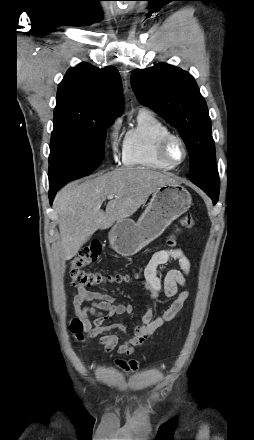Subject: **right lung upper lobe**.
Segmentation results:
<instances>
[{"instance_id": "obj_1", "label": "right lung upper lobe", "mask_w": 254, "mask_h": 440, "mask_svg": "<svg viewBox=\"0 0 254 440\" xmlns=\"http://www.w3.org/2000/svg\"><path fill=\"white\" fill-rule=\"evenodd\" d=\"M121 80L113 66L99 69L81 63L70 69L58 86L54 117L73 116L109 121L123 111Z\"/></svg>"}]
</instances>
